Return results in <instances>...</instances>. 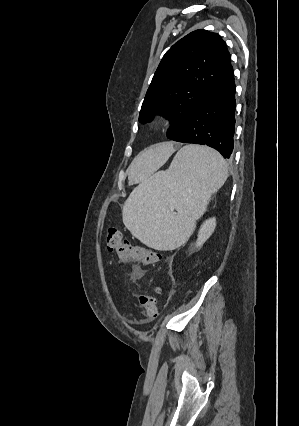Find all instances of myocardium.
I'll return each instance as SVG.
<instances>
[{
  "label": "myocardium",
  "mask_w": 299,
  "mask_h": 426,
  "mask_svg": "<svg viewBox=\"0 0 299 426\" xmlns=\"http://www.w3.org/2000/svg\"><path fill=\"white\" fill-rule=\"evenodd\" d=\"M168 123V120L164 116L153 118L149 121L148 127L151 131H157L164 127Z\"/></svg>",
  "instance_id": "obj_1"
}]
</instances>
